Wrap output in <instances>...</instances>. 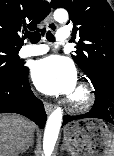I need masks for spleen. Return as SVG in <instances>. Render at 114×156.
Returning <instances> with one entry per match:
<instances>
[{"instance_id": "1", "label": "spleen", "mask_w": 114, "mask_h": 156, "mask_svg": "<svg viewBox=\"0 0 114 156\" xmlns=\"http://www.w3.org/2000/svg\"><path fill=\"white\" fill-rule=\"evenodd\" d=\"M108 156H114V144L112 145L111 149L109 150Z\"/></svg>"}]
</instances>
